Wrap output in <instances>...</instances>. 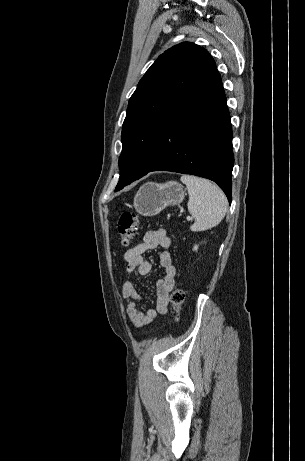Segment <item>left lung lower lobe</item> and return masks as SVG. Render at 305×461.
Returning a JSON list of instances; mask_svg holds the SVG:
<instances>
[{
  "mask_svg": "<svg viewBox=\"0 0 305 461\" xmlns=\"http://www.w3.org/2000/svg\"><path fill=\"white\" fill-rule=\"evenodd\" d=\"M233 163L230 115L214 63L164 126L144 175L163 170L208 178L231 202Z\"/></svg>",
  "mask_w": 305,
  "mask_h": 461,
  "instance_id": "obj_1",
  "label": "left lung lower lobe"
}]
</instances>
